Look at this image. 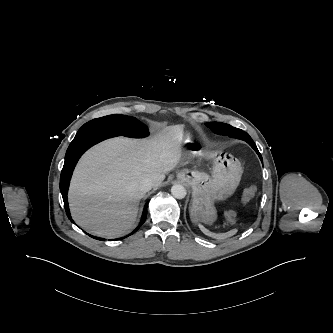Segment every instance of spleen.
<instances>
[{"mask_svg": "<svg viewBox=\"0 0 333 333\" xmlns=\"http://www.w3.org/2000/svg\"><path fill=\"white\" fill-rule=\"evenodd\" d=\"M199 227L205 235L216 238V239H225V238L233 236L237 233V229H232L226 233H212L209 230H207L203 225H199Z\"/></svg>", "mask_w": 333, "mask_h": 333, "instance_id": "3e777b00", "label": "spleen"}]
</instances>
